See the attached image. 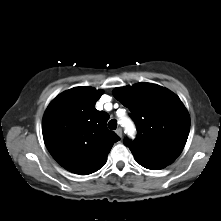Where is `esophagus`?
I'll use <instances>...</instances> for the list:
<instances>
[{"label": "esophagus", "mask_w": 221, "mask_h": 221, "mask_svg": "<svg viewBox=\"0 0 221 221\" xmlns=\"http://www.w3.org/2000/svg\"><path fill=\"white\" fill-rule=\"evenodd\" d=\"M116 134L120 137V138H122V128H117V130H116Z\"/></svg>", "instance_id": "esophagus-1"}]
</instances>
